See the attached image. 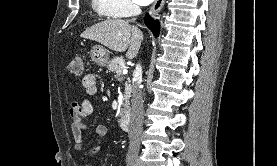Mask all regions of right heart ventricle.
Masks as SVG:
<instances>
[{
  "mask_svg": "<svg viewBox=\"0 0 277 166\" xmlns=\"http://www.w3.org/2000/svg\"><path fill=\"white\" fill-rule=\"evenodd\" d=\"M91 6L97 15L101 18H113L115 15L107 6L105 0H91Z\"/></svg>",
  "mask_w": 277,
  "mask_h": 166,
  "instance_id": "right-heart-ventricle-1",
  "label": "right heart ventricle"
}]
</instances>
